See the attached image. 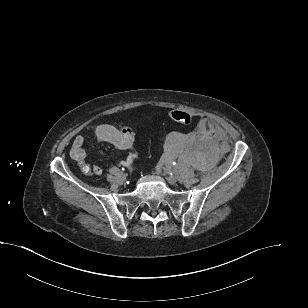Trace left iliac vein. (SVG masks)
Here are the masks:
<instances>
[{
    "instance_id": "1",
    "label": "left iliac vein",
    "mask_w": 308,
    "mask_h": 308,
    "mask_svg": "<svg viewBox=\"0 0 308 308\" xmlns=\"http://www.w3.org/2000/svg\"><path fill=\"white\" fill-rule=\"evenodd\" d=\"M170 169L168 168H164V174H167L166 179L167 181L172 184L175 185L177 183V178L175 176L169 175Z\"/></svg>"
}]
</instances>
